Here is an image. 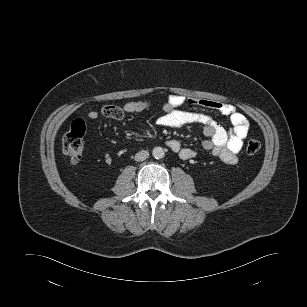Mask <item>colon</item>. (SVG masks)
<instances>
[{
  "instance_id": "1",
  "label": "colon",
  "mask_w": 307,
  "mask_h": 307,
  "mask_svg": "<svg viewBox=\"0 0 307 307\" xmlns=\"http://www.w3.org/2000/svg\"><path fill=\"white\" fill-rule=\"evenodd\" d=\"M85 132V123L82 120H75L72 123L69 131L63 137V152L70 158L71 162L73 163H77L81 159L84 147ZM260 148L261 144L256 139H249L245 146L246 153L249 155L257 153Z\"/></svg>"
}]
</instances>
